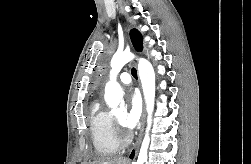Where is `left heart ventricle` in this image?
Wrapping results in <instances>:
<instances>
[{"label": "left heart ventricle", "instance_id": "b2bd125f", "mask_svg": "<svg viewBox=\"0 0 251 164\" xmlns=\"http://www.w3.org/2000/svg\"><path fill=\"white\" fill-rule=\"evenodd\" d=\"M122 118H123L122 115L119 114V115H118V119H119V120H122Z\"/></svg>", "mask_w": 251, "mask_h": 164}]
</instances>
